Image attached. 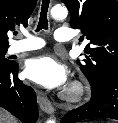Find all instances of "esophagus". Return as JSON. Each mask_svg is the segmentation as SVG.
<instances>
[{
    "label": "esophagus",
    "mask_w": 118,
    "mask_h": 123,
    "mask_svg": "<svg viewBox=\"0 0 118 123\" xmlns=\"http://www.w3.org/2000/svg\"><path fill=\"white\" fill-rule=\"evenodd\" d=\"M37 101L40 108L47 114H53L54 107L43 92H38Z\"/></svg>",
    "instance_id": "34e87169"
}]
</instances>
